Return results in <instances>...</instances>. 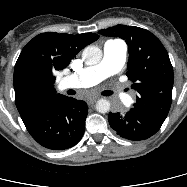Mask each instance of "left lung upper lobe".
Listing matches in <instances>:
<instances>
[{
    "instance_id": "left-lung-upper-lobe-1",
    "label": "left lung upper lobe",
    "mask_w": 187,
    "mask_h": 187,
    "mask_svg": "<svg viewBox=\"0 0 187 187\" xmlns=\"http://www.w3.org/2000/svg\"><path fill=\"white\" fill-rule=\"evenodd\" d=\"M99 33L126 41L127 76L138 92L134 109L164 122L172 102L173 68L160 40L148 30L121 24Z\"/></svg>"
}]
</instances>
